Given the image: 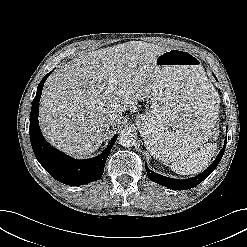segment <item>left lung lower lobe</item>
Segmentation results:
<instances>
[{"mask_svg": "<svg viewBox=\"0 0 247 247\" xmlns=\"http://www.w3.org/2000/svg\"><path fill=\"white\" fill-rule=\"evenodd\" d=\"M226 140H227V138H226ZM226 140L224 143V147L219 152V154L217 155L214 162L205 171H203L201 174H199L193 178L186 179V180L172 179V178H168V177L159 175V174L151 171L147 166H145L146 171L148 173V176L153 182H156L160 185L166 186V187H168L170 189H174V190H186V189H190L192 187H195L196 185L201 183L204 179H206L212 173V171L217 167L218 163L220 162V160L224 154L225 147H226Z\"/></svg>", "mask_w": 247, "mask_h": 247, "instance_id": "left-lung-lower-lobe-1", "label": "left lung lower lobe"}]
</instances>
